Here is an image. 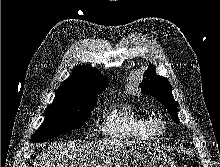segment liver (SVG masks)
Returning a JSON list of instances; mask_svg holds the SVG:
<instances>
[{
    "mask_svg": "<svg viewBox=\"0 0 220 167\" xmlns=\"http://www.w3.org/2000/svg\"><path fill=\"white\" fill-rule=\"evenodd\" d=\"M129 145L115 139L54 143L36 157L34 167H112Z\"/></svg>",
    "mask_w": 220,
    "mask_h": 167,
    "instance_id": "obj_1",
    "label": "liver"
}]
</instances>
